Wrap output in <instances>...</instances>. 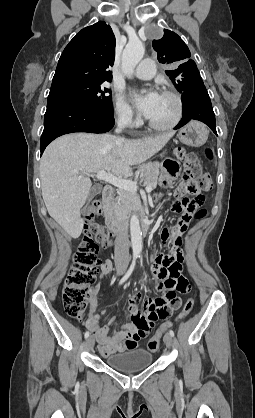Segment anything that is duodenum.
Wrapping results in <instances>:
<instances>
[{"label": "duodenum", "instance_id": "obj_1", "mask_svg": "<svg viewBox=\"0 0 255 418\" xmlns=\"http://www.w3.org/2000/svg\"><path fill=\"white\" fill-rule=\"evenodd\" d=\"M113 197H114V189L110 185H106L103 188L102 192V200L104 204V210H105V220L107 228L115 233V234H121L125 230V224L122 221V219L118 216L116 213L114 207H113ZM150 219L145 216L141 219V227L143 232H147L150 228Z\"/></svg>", "mask_w": 255, "mask_h": 418}]
</instances>
